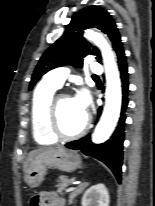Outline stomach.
<instances>
[{"label":"stomach","mask_w":155,"mask_h":206,"mask_svg":"<svg viewBox=\"0 0 155 206\" xmlns=\"http://www.w3.org/2000/svg\"><path fill=\"white\" fill-rule=\"evenodd\" d=\"M81 157L64 147L37 153L30 161L25 172V182L31 188L39 187L46 175L47 168H57L72 172L81 168Z\"/></svg>","instance_id":"stomach-1"}]
</instances>
